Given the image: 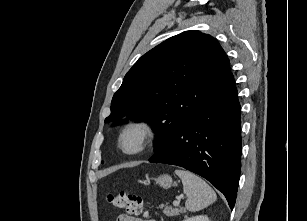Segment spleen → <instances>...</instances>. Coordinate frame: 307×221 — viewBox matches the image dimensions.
<instances>
[{"label":"spleen","mask_w":307,"mask_h":221,"mask_svg":"<svg viewBox=\"0 0 307 221\" xmlns=\"http://www.w3.org/2000/svg\"><path fill=\"white\" fill-rule=\"evenodd\" d=\"M183 184V192L187 195L186 209L191 212L202 210L216 201L214 190L199 176L186 170H175Z\"/></svg>","instance_id":"1"}]
</instances>
